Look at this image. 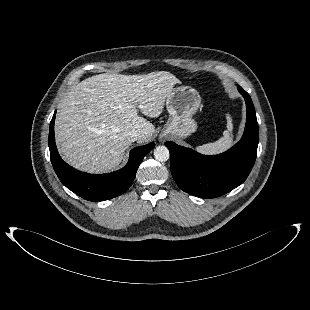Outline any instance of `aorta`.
I'll return each instance as SVG.
<instances>
[{
	"instance_id": "obj_1",
	"label": "aorta",
	"mask_w": 310,
	"mask_h": 310,
	"mask_svg": "<svg viewBox=\"0 0 310 310\" xmlns=\"http://www.w3.org/2000/svg\"><path fill=\"white\" fill-rule=\"evenodd\" d=\"M154 157L157 161L165 162L169 159L170 153L166 146H158L154 150Z\"/></svg>"
}]
</instances>
